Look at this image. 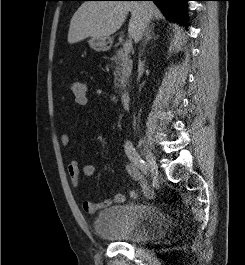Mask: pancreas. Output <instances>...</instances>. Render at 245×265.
Listing matches in <instances>:
<instances>
[{
    "mask_svg": "<svg viewBox=\"0 0 245 265\" xmlns=\"http://www.w3.org/2000/svg\"><path fill=\"white\" fill-rule=\"evenodd\" d=\"M114 67V86L119 91L125 89L132 71V60L123 49H118L111 58Z\"/></svg>",
    "mask_w": 245,
    "mask_h": 265,
    "instance_id": "cf45deb5",
    "label": "pancreas"
}]
</instances>
